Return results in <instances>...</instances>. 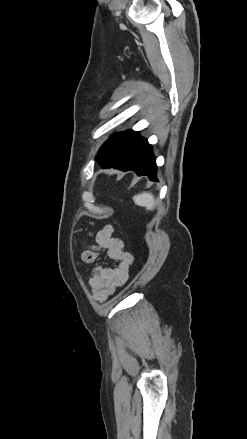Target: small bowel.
Returning a JSON list of instances; mask_svg holds the SVG:
<instances>
[{"mask_svg": "<svg viewBox=\"0 0 247 439\" xmlns=\"http://www.w3.org/2000/svg\"><path fill=\"white\" fill-rule=\"evenodd\" d=\"M94 240L95 243L83 251L81 259L85 263L100 261V264L92 270L89 286L96 299L104 301L114 293L117 287L126 283L134 259L125 250L122 240L113 236L111 226L98 231L94 235ZM102 252H106L107 256L115 261L114 267H107L102 263Z\"/></svg>", "mask_w": 247, "mask_h": 439, "instance_id": "obj_1", "label": "small bowel"}]
</instances>
